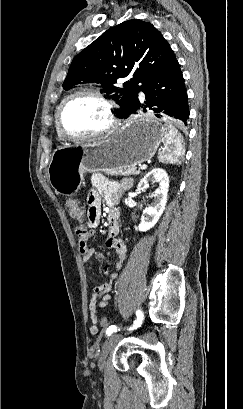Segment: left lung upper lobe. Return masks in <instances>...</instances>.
<instances>
[{
    "instance_id": "5c2ea615",
    "label": "left lung upper lobe",
    "mask_w": 243,
    "mask_h": 409,
    "mask_svg": "<svg viewBox=\"0 0 243 409\" xmlns=\"http://www.w3.org/2000/svg\"><path fill=\"white\" fill-rule=\"evenodd\" d=\"M175 61L170 45L151 23L131 19L108 29L74 57L63 88L98 83L119 104L117 116L124 118L138 100L137 93ZM128 75L132 78L118 87L117 79Z\"/></svg>"
}]
</instances>
